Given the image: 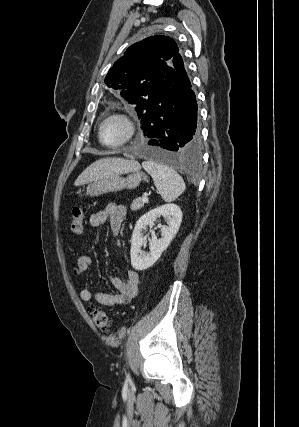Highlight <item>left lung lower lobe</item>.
Here are the masks:
<instances>
[{"mask_svg": "<svg viewBox=\"0 0 299 427\" xmlns=\"http://www.w3.org/2000/svg\"><path fill=\"white\" fill-rule=\"evenodd\" d=\"M177 78L161 98L145 109L142 127L149 138L144 152L161 162L183 165L200 150L197 101L179 51L173 57Z\"/></svg>", "mask_w": 299, "mask_h": 427, "instance_id": "1", "label": "left lung lower lobe"}]
</instances>
